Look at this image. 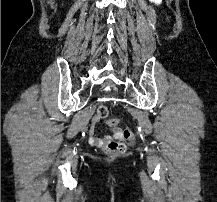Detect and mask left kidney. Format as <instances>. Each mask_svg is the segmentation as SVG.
<instances>
[{"label": "left kidney", "mask_w": 217, "mask_h": 202, "mask_svg": "<svg viewBox=\"0 0 217 202\" xmlns=\"http://www.w3.org/2000/svg\"><path fill=\"white\" fill-rule=\"evenodd\" d=\"M150 2H155V4H160V0H150Z\"/></svg>", "instance_id": "left-kidney-1"}]
</instances>
